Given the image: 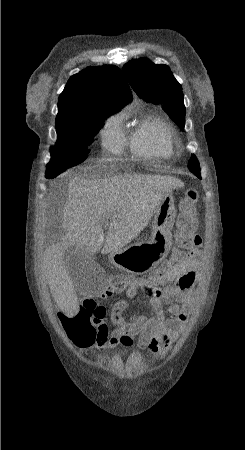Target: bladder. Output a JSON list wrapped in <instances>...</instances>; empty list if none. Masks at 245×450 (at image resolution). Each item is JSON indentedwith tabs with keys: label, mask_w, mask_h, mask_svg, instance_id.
<instances>
[{
	"label": "bladder",
	"mask_w": 245,
	"mask_h": 450,
	"mask_svg": "<svg viewBox=\"0 0 245 450\" xmlns=\"http://www.w3.org/2000/svg\"><path fill=\"white\" fill-rule=\"evenodd\" d=\"M121 356H122V355H121L120 353H116V354H114L113 356L108 357V358L106 359V361H107L108 364H114V363H116V362L119 360V358H120Z\"/></svg>",
	"instance_id": "1"
}]
</instances>
